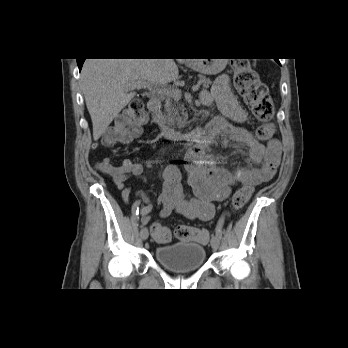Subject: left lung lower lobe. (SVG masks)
Listing matches in <instances>:
<instances>
[{"mask_svg":"<svg viewBox=\"0 0 348 348\" xmlns=\"http://www.w3.org/2000/svg\"><path fill=\"white\" fill-rule=\"evenodd\" d=\"M275 60H276V59H275ZM276 62L280 64L279 60H276Z\"/></svg>","mask_w":348,"mask_h":348,"instance_id":"1","label":"left lung lower lobe"}]
</instances>
